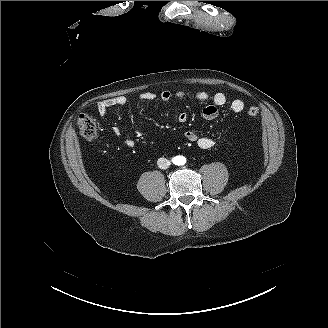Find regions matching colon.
Here are the masks:
<instances>
[{
    "instance_id": "colon-1",
    "label": "colon",
    "mask_w": 328,
    "mask_h": 328,
    "mask_svg": "<svg viewBox=\"0 0 328 328\" xmlns=\"http://www.w3.org/2000/svg\"><path fill=\"white\" fill-rule=\"evenodd\" d=\"M259 113V109L256 106H251L247 109V114L250 117H255ZM78 127L81 135L86 139H93L97 136V125L95 120L87 115L81 114L78 118Z\"/></svg>"
}]
</instances>
